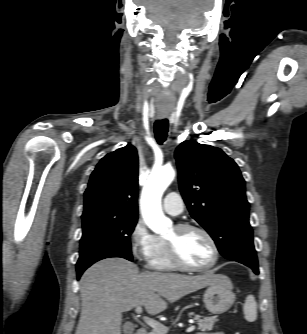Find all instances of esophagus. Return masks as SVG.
Returning <instances> with one entry per match:
<instances>
[{"label": "esophagus", "mask_w": 307, "mask_h": 334, "mask_svg": "<svg viewBox=\"0 0 307 334\" xmlns=\"http://www.w3.org/2000/svg\"><path fill=\"white\" fill-rule=\"evenodd\" d=\"M158 118H160V119L166 118V115H164V114H159V115H158Z\"/></svg>", "instance_id": "1"}]
</instances>
